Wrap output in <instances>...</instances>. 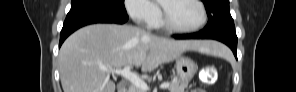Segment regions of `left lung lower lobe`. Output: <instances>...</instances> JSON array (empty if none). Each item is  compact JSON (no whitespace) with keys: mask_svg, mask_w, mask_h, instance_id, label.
Masks as SVG:
<instances>
[{"mask_svg":"<svg viewBox=\"0 0 296 92\" xmlns=\"http://www.w3.org/2000/svg\"><path fill=\"white\" fill-rule=\"evenodd\" d=\"M176 39H214L228 45L237 58V36L236 33L222 32L213 35H207L203 31L193 34L173 35Z\"/></svg>","mask_w":296,"mask_h":92,"instance_id":"obj_1","label":"left lung lower lobe"}]
</instances>
